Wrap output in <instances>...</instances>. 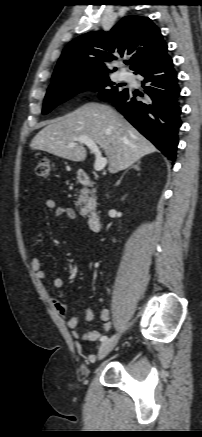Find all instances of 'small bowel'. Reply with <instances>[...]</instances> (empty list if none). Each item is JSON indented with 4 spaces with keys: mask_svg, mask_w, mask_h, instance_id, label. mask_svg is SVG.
I'll return each mask as SVG.
<instances>
[{
    "mask_svg": "<svg viewBox=\"0 0 202 437\" xmlns=\"http://www.w3.org/2000/svg\"><path fill=\"white\" fill-rule=\"evenodd\" d=\"M46 207L48 209L54 210V215L57 218H62V217H65L68 219H76L77 218V213L73 208L67 207V206L57 205L56 201L53 199H48L46 201ZM31 268H32L36 278H38L39 280L46 279L47 274L42 269V262L38 256H33L32 260H31ZM63 284H64V282L61 278H59V277L54 278V280H53L54 288L60 289V288H62ZM53 306L59 315H61L63 317L67 316L68 308H67V305L65 303H63L59 299L54 298L53 299ZM80 317H83L87 322L92 321L94 318L93 310L90 308H84L80 314L73 315V316H70L67 318V321H66L67 326L71 329L72 336L75 339L95 341L99 338V336L102 332H108L111 329V322H110L111 316H110V312L108 309L101 310L100 318H101L102 324L100 325L99 328L94 329L92 331L81 333L77 330Z\"/></svg>",
    "mask_w": 202,
    "mask_h": 437,
    "instance_id": "c3829d8e",
    "label": "small bowel"
}]
</instances>
